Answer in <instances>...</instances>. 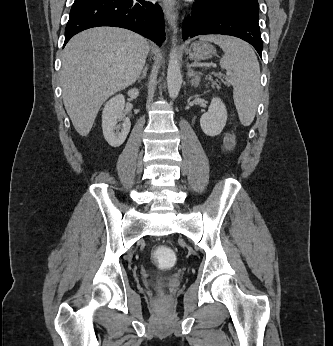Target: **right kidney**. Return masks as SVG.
<instances>
[{
    "instance_id": "1",
    "label": "right kidney",
    "mask_w": 333,
    "mask_h": 346,
    "mask_svg": "<svg viewBox=\"0 0 333 346\" xmlns=\"http://www.w3.org/2000/svg\"><path fill=\"white\" fill-rule=\"evenodd\" d=\"M131 98L139 95L138 89L128 91ZM125 99L122 94L111 98L103 108L102 112V129L105 140L112 147H119L125 141L131 127L129 118L123 114ZM122 121V125L118 122Z\"/></svg>"
}]
</instances>
